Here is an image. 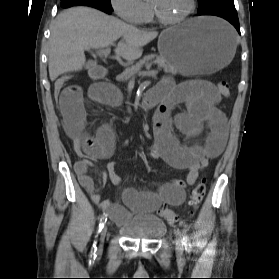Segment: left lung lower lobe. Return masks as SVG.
I'll return each mask as SVG.
<instances>
[{
	"label": "left lung lower lobe",
	"instance_id": "left-lung-lower-lobe-1",
	"mask_svg": "<svg viewBox=\"0 0 279 279\" xmlns=\"http://www.w3.org/2000/svg\"><path fill=\"white\" fill-rule=\"evenodd\" d=\"M197 15H214L222 17L229 21L240 33L239 20L233 1H223L214 3L208 6L207 8L198 11Z\"/></svg>",
	"mask_w": 279,
	"mask_h": 279
}]
</instances>
